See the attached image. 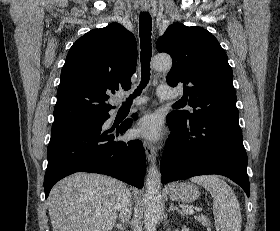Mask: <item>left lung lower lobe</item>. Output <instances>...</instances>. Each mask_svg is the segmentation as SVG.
Instances as JSON below:
<instances>
[{
  "mask_svg": "<svg viewBox=\"0 0 280 231\" xmlns=\"http://www.w3.org/2000/svg\"><path fill=\"white\" fill-rule=\"evenodd\" d=\"M172 131L163 152L162 183L219 174L240 185L249 197L247 154L237 118H200L183 123L167 115Z\"/></svg>",
  "mask_w": 280,
  "mask_h": 231,
  "instance_id": "obj_1",
  "label": "left lung lower lobe"
}]
</instances>
